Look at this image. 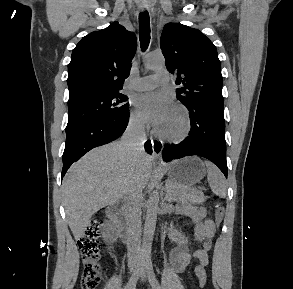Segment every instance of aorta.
<instances>
[{"label": "aorta", "instance_id": "aorta-1", "mask_svg": "<svg viewBox=\"0 0 293 289\" xmlns=\"http://www.w3.org/2000/svg\"><path fill=\"white\" fill-rule=\"evenodd\" d=\"M144 65L147 69L156 70L165 65V61L161 56H148L145 59ZM159 203V193L154 190L147 201V212L144 224V233L142 239L141 254L144 257H149L151 253L152 241L156 227L157 212Z\"/></svg>", "mask_w": 293, "mask_h": 289}]
</instances>
